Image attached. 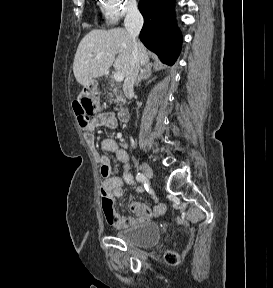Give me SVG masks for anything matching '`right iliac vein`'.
I'll return each instance as SVG.
<instances>
[{"mask_svg":"<svg viewBox=\"0 0 273 288\" xmlns=\"http://www.w3.org/2000/svg\"><path fill=\"white\" fill-rule=\"evenodd\" d=\"M142 171L144 175L148 178L151 179L153 177V171L151 167L147 163H142L141 165Z\"/></svg>","mask_w":273,"mask_h":288,"instance_id":"obj_1","label":"right iliac vein"}]
</instances>
